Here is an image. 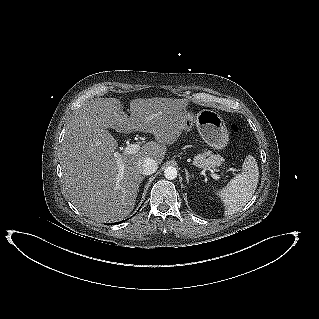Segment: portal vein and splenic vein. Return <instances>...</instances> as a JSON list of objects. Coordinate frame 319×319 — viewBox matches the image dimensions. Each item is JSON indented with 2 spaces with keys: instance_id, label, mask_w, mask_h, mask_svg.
<instances>
[{
  "instance_id": "obj_1",
  "label": "portal vein and splenic vein",
  "mask_w": 319,
  "mask_h": 319,
  "mask_svg": "<svg viewBox=\"0 0 319 319\" xmlns=\"http://www.w3.org/2000/svg\"><path fill=\"white\" fill-rule=\"evenodd\" d=\"M140 150V144L139 143H134V144H128L124 149H123V154L124 155H130V154H135ZM117 165L119 167L118 171V177L117 179H121L124 175V165L121 160L117 161ZM211 177L218 180L220 177L211 171Z\"/></svg>"
}]
</instances>
